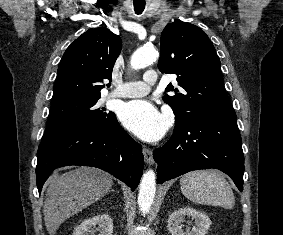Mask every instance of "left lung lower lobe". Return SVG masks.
<instances>
[{"label": "left lung lower lobe", "mask_w": 283, "mask_h": 235, "mask_svg": "<svg viewBox=\"0 0 283 235\" xmlns=\"http://www.w3.org/2000/svg\"><path fill=\"white\" fill-rule=\"evenodd\" d=\"M157 182L189 171L215 168L243 190L244 156L236 114L199 117L175 126L171 139L153 152Z\"/></svg>", "instance_id": "0a47b994"}]
</instances>
